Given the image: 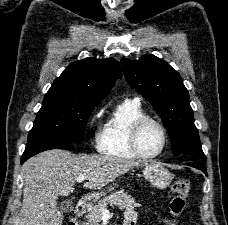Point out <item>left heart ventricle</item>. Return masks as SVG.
<instances>
[{
    "mask_svg": "<svg viewBox=\"0 0 228 225\" xmlns=\"http://www.w3.org/2000/svg\"><path fill=\"white\" fill-rule=\"evenodd\" d=\"M140 143L147 154L159 152L163 143L161 130L154 124H148L142 131Z\"/></svg>",
    "mask_w": 228,
    "mask_h": 225,
    "instance_id": "1",
    "label": "left heart ventricle"
}]
</instances>
